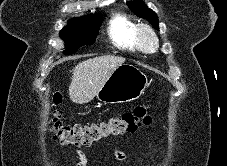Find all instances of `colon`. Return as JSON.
<instances>
[{
    "mask_svg": "<svg viewBox=\"0 0 227 166\" xmlns=\"http://www.w3.org/2000/svg\"><path fill=\"white\" fill-rule=\"evenodd\" d=\"M62 96L54 93L52 96L53 109L50 116V130L63 145L88 147L109 137L121 136L136 132L141 126L151 121L149 104H141L131 111L113 116L99 124L64 125L61 121Z\"/></svg>",
    "mask_w": 227,
    "mask_h": 166,
    "instance_id": "5ec220e1",
    "label": "colon"
}]
</instances>
